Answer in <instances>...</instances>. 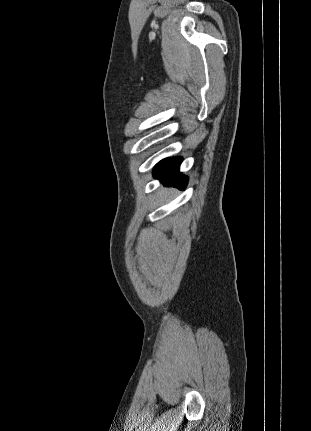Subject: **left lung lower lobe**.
<instances>
[{
  "label": "left lung lower lobe",
  "instance_id": "obj_1",
  "mask_svg": "<svg viewBox=\"0 0 311 431\" xmlns=\"http://www.w3.org/2000/svg\"><path fill=\"white\" fill-rule=\"evenodd\" d=\"M181 157H172L160 161L154 168V177L160 179L166 186H174L184 190L188 178L179 172Z\"/></svg>",
  "mask_w": 311,
  "mask_h": 431
}]
</instances>
